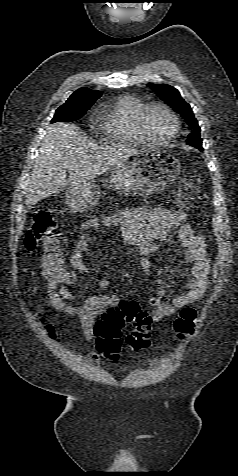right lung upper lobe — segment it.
<instances>
[{"mask_svg":"<svg viewBox=\"0 0 238 476\" xmlns=\"http://www.w3.org/2000/svg\"><path fill=\"white\" fill-rule=\"evenodd\" d=\"M102 95V91L91 90L87 87L79 88L75 91L66 102L93 105L94 102Z\"/></svg>","mask_w":238,"mask_h":476,"instance_id":"1","label":"right lung upper lobe"}]
</instances>
